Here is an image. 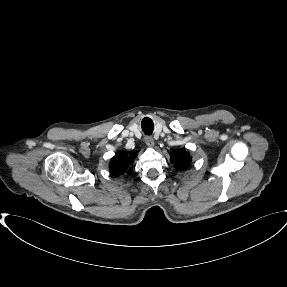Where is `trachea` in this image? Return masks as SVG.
Returning <instances> with one entry per match:
<instances>
[{"mask_svg": "<svg viewBox=\"0 0 287 287\" xmlns=\"http://www.w3.org/2000/svg\"><path fill=\"white\" fill-rule=\"evenodd\" d=\"M149 118H145L143 119L142 121V129L144 131V133L146 135H151L152 134V131H153V124L150 122H147Z\"/></svg>", "mask_w": 287, "mask_h": 287, "instance_id": "obj_1", "label": "trachea"}]
</instances>
